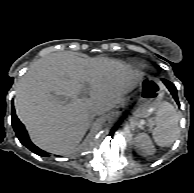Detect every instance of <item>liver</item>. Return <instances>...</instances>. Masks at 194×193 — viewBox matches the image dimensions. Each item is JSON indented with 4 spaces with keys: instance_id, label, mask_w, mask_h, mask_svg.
I'll return each mask as SVG.
<instances>
[{
    "instance_id": "1",
    "label": "liver",
    "mask_w": 194,
    "mask_h": 193,
    "mask_svg": "<svg viewBox=\"0 0 194 193\" xmlns=\"http://www.w3.org/2000/svg\"><path fill=\"white\" fill-rule=\"evenodd\" d=\"M140 80L141 75L120 60L51 53L19 80L15 109L34 144L50 153L69 154L95 112L115 107ZM85 84L89 98H78Z\"/></svg>"
}]
</instances>
